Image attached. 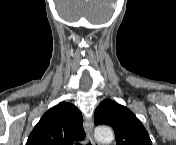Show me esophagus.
<instances>
[{"label":"esophagus","instance_id":"obj_1","mask_svg":"<svg viewBox=\"0 0 176 145\" xmlns=\"http://www.w3.org/2000/svg\"><path fill=\"white\" fill-rule=\"evenodd\" d=\"M84 126L86 128L87 136H88V139L90 140L91 144L92 145H98V143L94 140V137H93L94 125H93L92 119L91 118H85Z\"/></svg>","mask_w":176,"mask_h":145}]
</instances>
